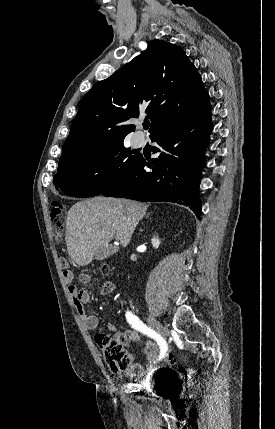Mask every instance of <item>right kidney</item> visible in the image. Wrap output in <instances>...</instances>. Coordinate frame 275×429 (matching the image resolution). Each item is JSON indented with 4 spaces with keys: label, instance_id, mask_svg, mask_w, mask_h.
<instances>
[{
    "label": "right kidney",
    "instance_id": "1",
    "mask_svg": "<svg viewBox=\"0 0 275 429\" xmlns=\"http://www.w3.org/2000/svg\"><path fill=\"white\" fill-rule=\"evenodd\" d=\"M151 242H152V245L155 249H157L160 245V240L157 237H153Z\"/></svg>",
    "mask_w": 275,
    "mask_h": 429
}]
</instances>
